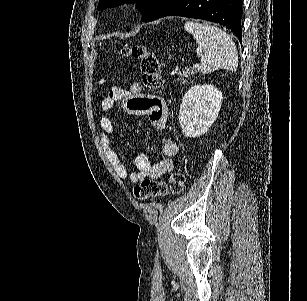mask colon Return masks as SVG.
Here are the masks:
<instances>
[{
	"mask_svg": "<svg viewBox=\"0 0 307 301\" xmlns=\"http://www.w3.org/2000/svg\"><path fill=\"white\" fill-rule=\"evenodd\" d=\"M124 56L133 57L140 61L141 81L147 89H157L163 84L160 64L153 52L144 45H134L122 49ZM186 177L181 171L172 172L166 182L143 179L134 187V196L141 201L158 196L178 195L183 192Z\"/></svg>",
	"mask_w": 307,
	"mask_h": 301,
	"instance_id": "5ec220e1",
	"label": "colon"
}]
</instances>
